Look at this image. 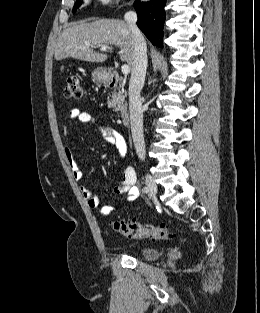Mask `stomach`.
Segmentation results:
<instances>
[{
	"label": "stomach",
	"instance_id": "stomach-1",
	"mask_svg": "<svg viewBox=\"0 0 260 313\" xmlns=\"http://www.w3.org/2000/svg\"><path fill=\"white\" fill-rule=\"evenodd\" d=\"M92 77L95 81L104 82L107 80V73L104 69L97 68L93 71Z\"/></svg>",
	"mask_w": 260,
	"mask_h": 313
}]
</instances>
